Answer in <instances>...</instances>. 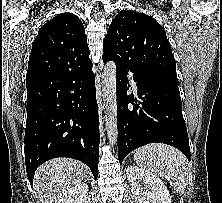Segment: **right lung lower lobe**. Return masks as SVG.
Wrapping results in <instances>:
<instances>
[{"label":"right lung lower lobe","instance_id":"obj_1","mask_svg":"<svg viewBox=\"0 0 222 203\" xmlns=\"http://www.w3.org/2000/svg\"><path fill=\"white\" fill-rule=\"evenodd\" d=\"M92 65L26 83L25 164L30 184L47 160L85 163L95 179L99 162V116Z\"/></svg>","mask_w":222,"mask_h":203}]
</instances>
